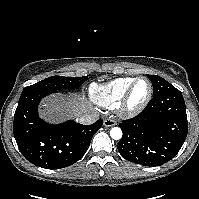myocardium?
Segmentation results:
<instances>
[{
    "label": "myocardium",
    "mask_w": 199,
    "mask_h": 199,
    "mask_svg": "<svg viewBox=\"0 0 199 199\" xmlns=\"http://www.w3.org/2000/svg\"><path fill=\"white\" fill-rule=\"evenodd\" d=\"M140 80H144L148 83V85H149L148 93H147L146 97L140 103H138L136 105H131V103H130L131 95L134 91L136 84ZM152 94H153V86H152L151 81L147 77L140 76V77L135 78L133 80V82L131 83V85L129 86V88L127 89L122 100L119 103L120 112L124 116H129V117L138 115L147 106V104L149 103V101L152 98Z\"/></svg>",
    "instance_id": "myocardium-1"
}]
</instances>
